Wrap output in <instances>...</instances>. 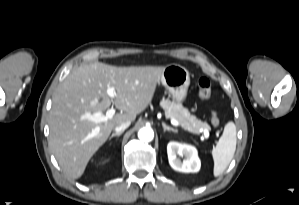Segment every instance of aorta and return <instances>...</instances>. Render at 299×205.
I'll use <instances>...</instances> for the list:
<instances>
[{
	"label": "aorta",
	"instance_id": "aorta-1",
	"mask_svg": "<svg viewBox=\"0 0 299 205\" xmlns=\"http://www.w3.org/2000/svg\"><path fill=\"white\" fill-rule=\"evenodd\" d=\"M138 138L144 142H150L154 138V132L149 127L141 128L138 132Z\"/></svg>",
	"mask_w": 299,
	"mask_h": 205
}]
</instances>
